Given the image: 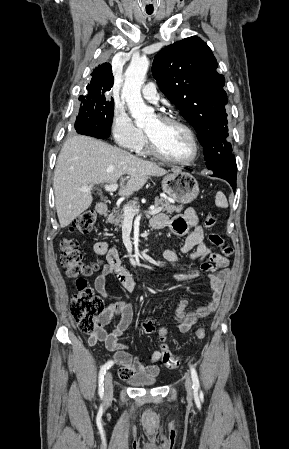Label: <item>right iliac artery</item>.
Returning <instances> with one entry per match:
<instances>
[{
    "label": "right iliac artery",
    "mask_w": 289,
    "mask_h": 449,
    "mask_svg": "<svg viewBox=\"0 0 289 449\" xmlns=\"http://www.w3.org/2000/svg\"><path fill=\"white\" fill-rule=\"evenodd\" d=\"M113 364H114L113 361H108V362H106V363L101 367V369H100V372H99V381H98V383H99V390H98V392H99V395H100L101 397H102L103 394H104V387H103L104 375H105L106 371H107Z\"/></svg>",
    "instance_id": "obj_1"
}]
</instances>
